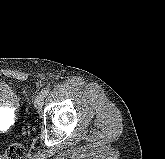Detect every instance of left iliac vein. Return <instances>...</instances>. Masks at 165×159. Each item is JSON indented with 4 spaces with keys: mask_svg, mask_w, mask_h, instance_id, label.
I'll return each instance as SVG.
<instances>
[{
    "mask_svg": "<svg viewBox=\"0 0 165 159\" xmlns=\"http://www.w3.org/2000/svg\"><path fill=\"white\" fill-rule=\"evenodd\" d=\"M44 100L45 96L42 93L38 94L34 101L35 108L40 109L44 104Z\"/></svg>",
    "mask_w": 165,
    "mask_h": 159,
    "instance_id": "1",
    "label": "left iliac vein"
}]
</instances>
